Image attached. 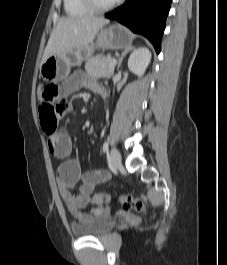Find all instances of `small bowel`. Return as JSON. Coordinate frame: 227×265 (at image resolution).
I'll return each mask as SVG.
<instances>
[{
    "instance_id": "obj_1",
    "label": "small bowel",
    "mask_w": 227,
    "mask_h": 265,
    "mask_svg": "<svg viewBox=\"0 0 227 265\" xmlns=\"http://www.w3.org/2000/svg\"><path fill=\"white\" fill-rule=\"evenodd\" d=\"M89 76V72H75L65 81H57V86H61L63 95L73 94L84 89L102 93L100 85L88 78ZM56 107L58 112H64L63 115L70 112L72 108L69 99H58ZM47 136L50 152L61 160L57 169V184L63 202L79 222L95 220V214L85 212L83 208L92 202L95 187L107 181L110 174L106 170L83 172L80 165L70 159L72 141L66 132L55 129Z\"/></svg>"
}]
</instances>
